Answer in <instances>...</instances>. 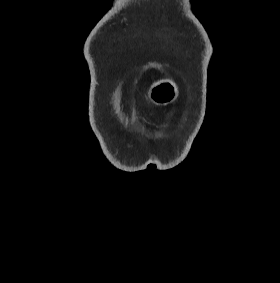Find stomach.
<instances>
[{"label":"stomach","mask_w":280,"mask_h":283,"mask_svg":"<svg viewBox=\"0 0 280 283\" xmlns=\"http://www.w3.org/2000/svg\"><path fill=\"white\" fill-rule=\"evenodd\" d=\"M178 95V87L170 79H160L154 82L148 90V99L156 105L172 103Z\"/></svg>","instance_id":"stomach-1"}]
</instances>
